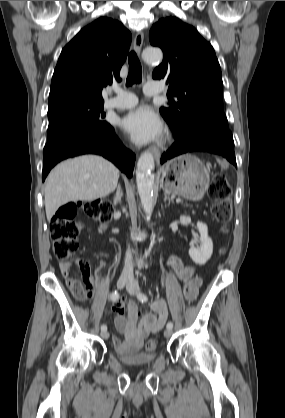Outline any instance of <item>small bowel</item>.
Listing matches in <instances>:
<instances>
[{
    "label": "small bowel",
    "mask_w": 285,
    "mask_h": 418,
    "mask_svg": "<svg viewBox=\"0 0 285 418\" xmlns=\"http://www.w3.org/2000/svg\"><path fill=\"white\" fill-rule=\"evenodd\" d=\"M71 266L80 268V282L84 283L89 291L90 296L96 291L94 278L88 262L74 258ZM169 267L176 273L178 278L184 281L183 295L186 299H195L202 285V278L196 273L191 265H186L177 256H171L168 260ZM66 284L73 291V286L79 280L73 278L69 273L64 274ZM123 300L118 299L113 304V311L116 312L117 329L124 333L126 342H122L117 336L112 337L115 349L122 352L131 350H139L143 340L151 333L159 331L168 318V309L166 302L162 298H156L152 303V312L141 315L137 305L134 302L127 303V316L123 313ZM139 320V322H138Z\"/></svg>",
    "instance_id": "small-bowel-1"
}]
</instances>
